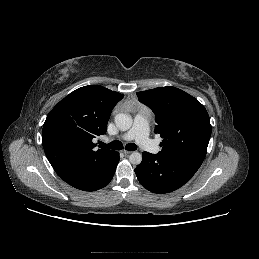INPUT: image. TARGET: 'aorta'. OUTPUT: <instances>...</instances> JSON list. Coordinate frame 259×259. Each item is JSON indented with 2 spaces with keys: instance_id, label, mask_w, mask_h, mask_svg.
Wrapping results in <instances>:
<instances>
[{
  "instance_id": "obj_1",
  "label": "aorta",
  "mask_w": 259,
  "mask_h": 259,
  "mask_svg": "<svg viewBox=\"0 0 259 259\" xmlns=\"http://www.w3.org/2000/svg\"><path fill=\"white\" fill-rule=\"evenodd\" d=\"M115 124L119 130L127 131L132 126V117L129 114L119 113L115 116ZM129 161L133 165H138L142 161V155L135 151L130 154Z\"/></svg>"
}]
</instances>
